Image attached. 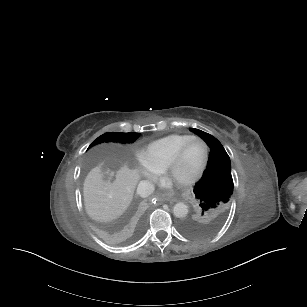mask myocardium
Instances as JSON below:
<instances>
[{"mask_svg": "<svg viewBox=\"0 0 307 307\" xmlns=\"http://www.w3.org/2000/svg\"><path fill=\"white\" fill-rule=\"evenodd\" d=\"M192 141H200L204 144L205 152H204V158L200 166L180 185L183 187H188L193 185L205 172L208 163H209V145L208 143L201 137L192 136L188 140H186L182 146L178 149V151L174 154L173 157H171L163 166H162V175L165 180H169V172L178 165L181 160L184 157L185 151L187 149V146Z\"/></svg>", "mask_w": 307, "mask_h": 307, "instance_id": "f54148a6", "label": "myocardium"}]
</instances>
